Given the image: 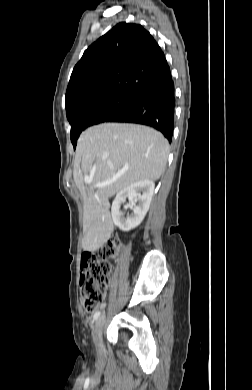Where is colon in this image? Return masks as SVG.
<instances>
[{"mask_svg":"<svg viewBox=\"0 0 252 390\" xmlns=\"http://www.w3.org/2000/svg\"><path fill=\"white\" fill-rule=\"evenodd\" d=\"M120 247L119 237L113 235L96 254H86L83 257L80 286L83 307L87 313L92 314L100 308L109 285L111 268L108 261L118 254Z\"/></svg>","mask_w":252,"mask_h":390,"instance_id":"colon-1","label":"colon"}]
</instances>
